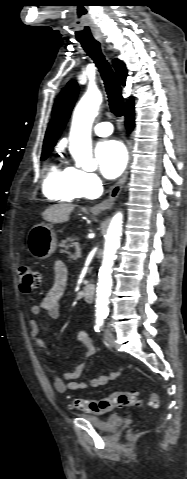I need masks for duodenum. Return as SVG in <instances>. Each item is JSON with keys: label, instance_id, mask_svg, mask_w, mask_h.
Wrapping results in <instances>:
<instances>
[{"label": "duodenum", "instance_id": "duodenum-1", "mask_svg": "<svg viewBox=\"0 0 187 479\" xmlns=\"http://www.w3.org/2000/svg\"><path fill=\"white\" fill-rule=\"evenodd\" d=\"M81 294H82L83 299H84L86 302H91V301H93V299H94V297H95V294H96L95 286L92 285V284H85V285L82 287Z\"/></svg>", "mask_w": 187, "mask_h": 479}]
</instances>
